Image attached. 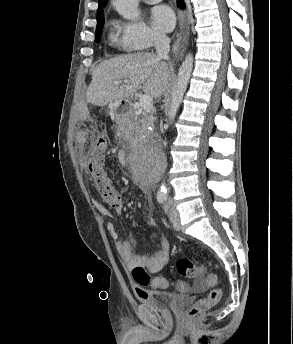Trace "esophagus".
I'll return each instance as SVG.
<instances>
[{"instance_id":"1","label":"esophagus","mask_w":293,"mask_h":344,"mask_svg":"<svg viewBox=\"0 0 293 344\" xmlns=\"http://www.w3.org/2000/svg\"><path fill=\"white\" fill-rule=\"evenodd\" d=\"M183 16H184L183 13H180L179 16H178V20L182 21L183 20Z\"/></svg>"}]
</instances>
